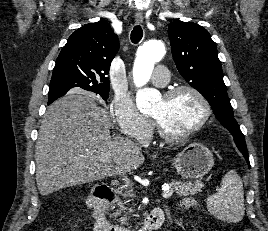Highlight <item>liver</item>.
<instances>
[{
  "mask_svg": "<svg viewBox=\"0 0 268 231\" xmlns=\"http://www.w3.org/2000/svg\"><path fill=\"white\" fill-rule=\"evenodd\" d=\"M107 110L83 91L52 103L36 142V182L41 195L62 188L126 174L144 162L139 147L127 138H112ZM108 156L109 162L97 157Z\"/></svg>",
  "mask_w": 268,
  "mask_h": 231,
  "instance_id": "liver-1",
  "label": "liver"
}]
</instances>
